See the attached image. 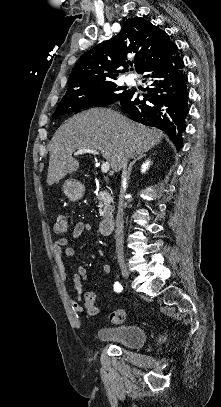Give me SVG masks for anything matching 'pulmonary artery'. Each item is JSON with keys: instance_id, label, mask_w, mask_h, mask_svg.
Segmentation results:
<instances>
[{"instance_id": "e3ab8cb5", "label": "pulmonary artery", "mask_w": 221, "mask_h": 407, "mask_svg": "<svg viewBox=\"0 0 221 407\" xmlns=\"http://www.w3.org/2000/svg\"><path fill=\"white\" fill-rule=\"evenodd\" d=\"M125 81L128 82V83H134V79L132 77H129V76L125 79Z\"/></svg>"}]
</instances>
